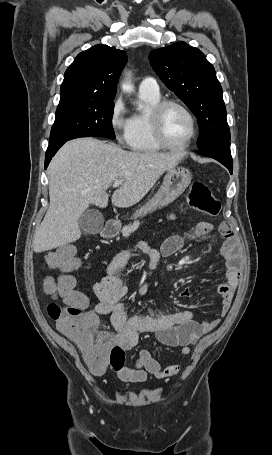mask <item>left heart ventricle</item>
I'll return each mask as SVG.
<instances>
[{
	"label": "left heart ventricle",
	"mask_w": 272,
	"mask_h": 455,
	"mask_svg": "<svg viewBox=\"0 0 272 455\" xmlns=\"http://www.w3.org/2000/svg\"><path fill=\"white\" fill-rule=\"evenodd\" d=\"M163 131L169 143L173 145L184 143L191 132L187 115L178 107H169L164 113Z\"/></svg>",
	"instance_id": "1"
}]
</instances>
